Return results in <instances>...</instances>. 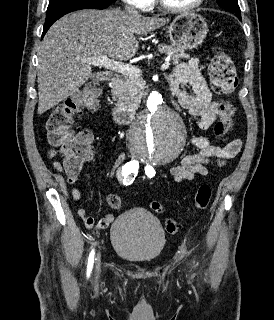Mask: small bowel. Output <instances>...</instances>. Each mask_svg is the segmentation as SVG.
<instances>
[{
  "instance_id": "small-bowel-1",
  "label": "small bowel",
  "mask_w": 274,
  "mask_h": 320,
  "mask_svg": "<svg viewBox=\"0 0 274 320\" xmlns=\"http://www.w3.org/2000/svg\"><path fill=\"white\" fill-rule=\"evenodd\" d=\"M169 85L178 103L192 116L196 117V126L200 130L209 129L217 119L219 112V101L212 96L207 81L200 71L197 58H191L188 62L178 65L170 74ZM189 84L193 89V95L184 90V85ZM191 143L197 148L196 153L184 155L180 163L171 168L170 173L176 183H185L193 180L197 176L208 174L210 166L222 165L225 161L236 156L242 147L241 139L228 141L224 146L219 145V141L207 135L194 136ZM50 153H57V146H50ZM87 157L95 163L99 162V155L94 151H89ZM125 161L123 154L114 161L110 175L119 172ZM45 163H52V156L44 157ZM54 169L61 173L63 168L58 162L53 164ZM75 201L81 200L80 191L76 188L72 190ZM77 215L82 223L88 228L94 224V219L85 208H78ZM114 220V216L108 214L97 224V228H106Z\"/></svg>"
}]
</instances>
